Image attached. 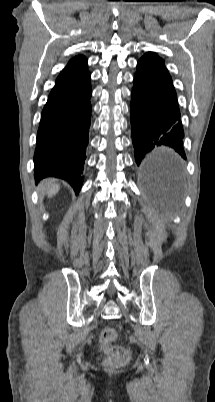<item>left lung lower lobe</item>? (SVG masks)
<instances>
[{"instance_id": "1", "label": "left lung lower lobe", "mask_w": 215, "mask_h": 402, "mask_svg": "<svg viewBox=\"0 0 215 402\" xmlns=\"http://www.w3.org/2000/svg\"><path fill=\"white\" fill-rule=\"evenodd\" d=\"M130 116L138 166L150 152L159 147L172 148L186 159L177 95L164 62L149 57H141L138 61ZM143 166L148 178H158L151 161L144 162ZM162 190L170 192L172 189Z\"/></svg>"}]
</instances>
